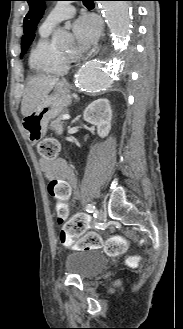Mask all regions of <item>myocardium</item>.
<instances>
[{
  "label": "myocardium",
  "mask_w": 183,
  "mask_h": 329,
  "mask_svg": "<svg viewBox=\"0 0 183 329\" xmlns=\"http://www.w3.org/2000/svg\"><path fill=\"white\" fill-rule=\"evenodd\" d=\"M60 59L62 66L66 69V71L75 64L79 59V54L76 52L75 54L68 56L63 52L60 53Z\"/></svg>",
  "instance_id": "1"
}]
</instances>
